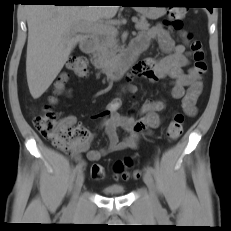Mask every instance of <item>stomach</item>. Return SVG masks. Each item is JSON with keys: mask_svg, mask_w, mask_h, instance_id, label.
Wrapping results in <instances>:
<instances>
[{"mask_svg": "<svg viewBox=\"0 0 231 231\" xmlns=\"http://www.w3.org/2000/svg\"><path fill=\"white\" fill-rule=\"evenodd\" d=\"M154 6L155 5L147 4L145 5V7H136V10L143 16L148 17L150 19L158 18L165 13L166 11L165 7H154Z\"/></svg>", "mask_w": 231, "mask_h": 231, "instance_id": "0dacf381", "label": "stomach"}]
</instances>
